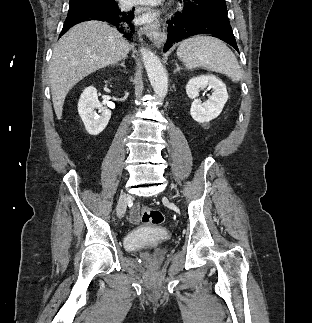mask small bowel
<instances>
[{"label": "small bowel", "instance_id": "c3829d8e", "mask_svg": "<svg viewBox=\"0 0 312 323\" xmlns=\"http://www.w3.org/2000/svg\"><path fill=\"white\" fill-rule=\"evenodd\" d=\"M140 220V211L137 204L133 205L130 211V221L132 223H138Z\"/></svg>", "mask_w": 312, "mask_h": 323}]
</instances>
